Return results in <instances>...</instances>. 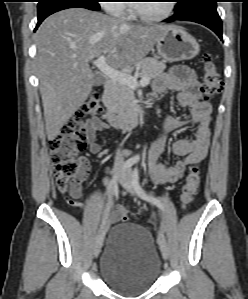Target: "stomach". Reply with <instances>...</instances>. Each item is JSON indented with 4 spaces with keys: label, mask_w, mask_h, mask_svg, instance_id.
<instances>
[{
    "label": "stomach",
    "mask_w": 248,
    "mask_h": 299,
    "mask_svg": "<svg viewBox=\"0 0 248 299\" xmlns=\"http://www.w3.org/2000/svg\"><path fill=\"white\" fill-rule=\"evenodd\" d=\"M158 54L168 62L194 58L199 53L196 39L177 26H167L156 42Z\"/></svg>",
    "instance_id": "stomach-1"
}]
</instances>
